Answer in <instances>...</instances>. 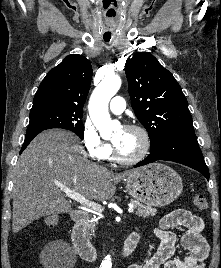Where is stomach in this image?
I'll return each mask as SVG.
<instances>
[{"label":"stomach","mask_w":221,"mask_h":268,"mask_svg":"<svg viewBox=\"0 0 221 268\" xmlns=\"http://www.w3.org/2000/svg\"><path fill=\"white\" fill-rule=\"evenodd\" d=\"M126 181L128 193L147 206L162 207L181 194L182 179L167 165L152 163L130 173Z\"/></svg>","instance_id":"1"}]
</instances>
